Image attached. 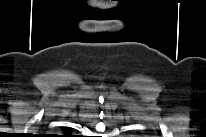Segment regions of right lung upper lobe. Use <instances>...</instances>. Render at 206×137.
Instances as JSON below:
<instances>
[{
  "label": "right lung upper lobe",
  "mask_w": 206,
  "mask_h": 137,
  "mask_svg": "<svg viewBox=\"0 0 206 137\" xmlns=\"http://www.w3.org/2000/svg\"><path fill=\"white\" fill-rule=\"evenodd\" d=\"M63 131H69V129L65 127V128H63Z\"/></svg>",
  "instance_id": "right-lung-upper-lobe-1"
}]
</instances>
